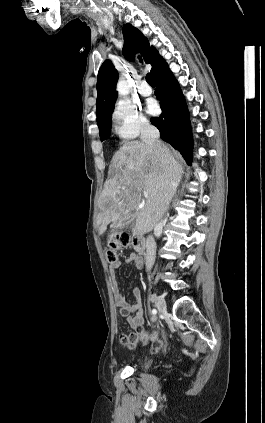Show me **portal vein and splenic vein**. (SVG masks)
Returning a JSON list of instances; mask_svg holds the SVG:
<instances>
[{
    "instance_id": "obj_1",
    "label": "portal vein and splenic vein",
    "mask_w": 265,
    "mask_h": 423,
    "mask_svg": "<svg viewBox=\"0 0 265 423\" xmlns=\"http://www.w3.org/2000/svg\"><path fill=\"white\" fill-rule=\"evenodd\" d=\"M143 196H144L145 198H148V196H149L148 192H143Z\"/></svg>"
}]
</instances>
